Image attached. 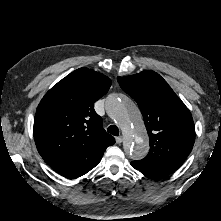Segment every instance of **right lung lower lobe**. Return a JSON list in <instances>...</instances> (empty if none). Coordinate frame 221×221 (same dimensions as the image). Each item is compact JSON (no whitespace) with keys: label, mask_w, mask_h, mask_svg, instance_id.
<instances>
[{"label":"right lung lower lobe","mask_w":221,"mask_h":221,"mask_svg":"<svg viewBox=\"0 0 221 221\" xmlns=\"http://www.w3.org/2000/svg\"><path fill=\"white\" fill-rule=\"evenodd\" d=\"M107 147H97L62 161L50 167L66 178H78L93 169L101 160Z\"/></svg>","instance_id":"1"}]
</instances>
